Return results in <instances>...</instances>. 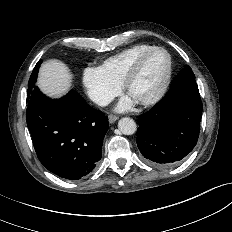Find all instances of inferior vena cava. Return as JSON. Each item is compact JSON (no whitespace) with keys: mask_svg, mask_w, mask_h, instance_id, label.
Returning <instances> with one entry per match:
<instances>
[{"mask_svg":"<svg viewBox=\"0 0 232 232\" xmlns=\"http://www.w3.org/2000/svg\"><path fill=\"white\" fill-rule=\"evenodd\" d=\"M111 101L112 99L109 96L104 95L95 98V103L100 106H107Z\"/></svg>","mask_w":232,"mask_h":232,"instance_id":"1","label":"inferior vena cava"}]
</instances>
